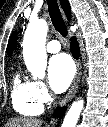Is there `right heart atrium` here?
Returning <instances> with one entry per match:
<instances>
[{"label":"right heart atrium","mask_w":108,"mask_h":127,"mask_svg":"<svg viewBox=\"0 0 108 127\" xmlns=\"http://www.w3.org/2000/svg\"><path fill=\"white\" fill-rule=\"evenodd\" d=\"M34 92L39 102L47 103L51 99V93L43 81L37 80L33 82Z\"/></svg>","instance_id":"right-heart-atrium-1"}]
</instances>
